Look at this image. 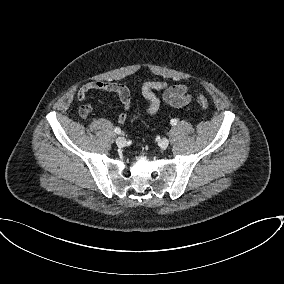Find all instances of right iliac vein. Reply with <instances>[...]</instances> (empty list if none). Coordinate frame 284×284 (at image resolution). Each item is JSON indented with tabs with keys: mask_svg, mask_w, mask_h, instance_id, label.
<instances>
[{
	"mask_svg": "<svg viewBox=\"0 0 284 284\" xmlns=\"http://www.w3.org/2000/svg\"><path fill=\"white\" fill-rule=\"evenodd\" d=\"M116 144L118 147H124L126 145V139L120 136L116 139Z\"/></svg>",
	"mask_w": 284,
	"mask_h": 284,
	"instance_id": "63e3f726",
	"label": "right iliac vein"
}]
</instances>
